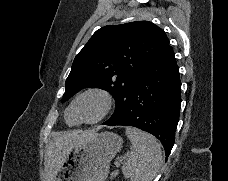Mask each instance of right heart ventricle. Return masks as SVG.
<instances>
[{
  "label": "right heart ventricle",
  "mask_w": 228,
  "mask_h": 181,
  "mask_svg": "<svg viewBox=\"0 0 228 181\" xmlns=\"http://www.w3.org/2000/svg\"><path fill=\"white\" fill-rule=\"evenodd\" d=\"M67 120L70 124H74L77 122V116L74 112L73 107H70L67 111Z\"/></svg>",
  "instance_id": "right-heart-ventricle-1"
}]
</instances>
